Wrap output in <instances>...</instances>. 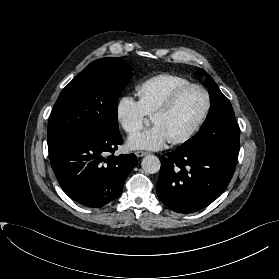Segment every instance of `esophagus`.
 <instances>
[{"mask_svg": "<svg viewBox=\"0 0 279 279\" xmlns=\"http://www.w3.org/2000/svg\"><path fill=\"white\" fill-rule=\"evenodd\" d=\"M135 154H136L137 157H143V156H146L148 154V152H146V151H136Z\"/></svg>", "mask_w": 279, "mask_h": 279, "instance_id": "obj_1", "label": "esophagus"}]
</instances>
